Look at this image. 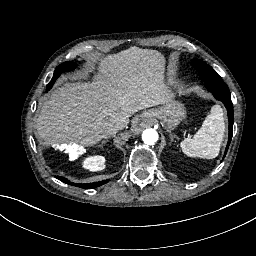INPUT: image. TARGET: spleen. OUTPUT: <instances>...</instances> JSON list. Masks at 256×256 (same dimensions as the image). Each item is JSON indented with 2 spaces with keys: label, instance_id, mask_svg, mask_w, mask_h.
<instances>
[{
  "label": "spleen",
  "instance_id": "3e777b00",
  "mask_svg": "<svg viewBox=\"0 0 256 256\" xmlns=\"http://www.w3.org/2000/svg\"><path fill=\"white\" fill-rule=\"evenodd\" d=\"M224 133L223 110L219 105H214L206 116L202 127L192 138H185L180 143V147L188 157L213 159L219 154Z\"/></svg>",
  "mask_w": 256,
  "mask_h": 256
}]
</instances>
